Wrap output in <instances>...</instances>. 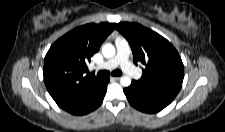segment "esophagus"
Instances as JSON below:
<instances>
[{"label": "esophagus", "instance_id": "1", "mask_svg": "<svg viewBox=\"0 0 225 132\" xmlns=\"http://www.w3.org/2000/svg\"><path fill=\"white\" fill-rule=\"evenodd\" d=\"M111 80H114V81H118V80H120V77H118V76H113V77H111Z\"/></svg>", "mask_w": 225, "mask_h": 132}]
</instances>
